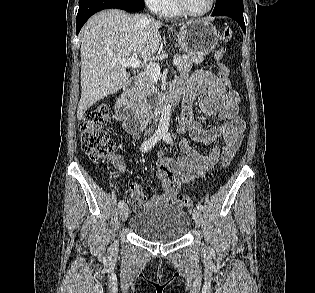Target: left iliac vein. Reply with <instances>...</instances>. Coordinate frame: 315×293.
<instances>
[{
  "label": "left iliac vein",
  "mask_w": 315,
  "mask_h": 293,
  "mask_svg": "<svg viewBox=\"0 0 315 293\" xmlns=\"http://www.w3.org/2000/svg\"><path fill=\"white\" fill-rule=\"evenodd\" d=\"M193 219L195 223L199 226L202 222V213L198 208L193 210Z\"/></svg>",
  "instance_id": "obj_1"
}]
</instances>
